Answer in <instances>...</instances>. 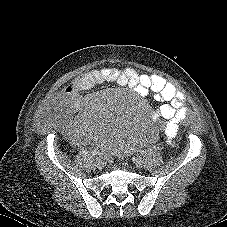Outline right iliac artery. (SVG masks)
<instances>
[{"label": "right iliac artery", "instance_id": "1", "mask_svg": "<svg viewBox=\"0 0 227 227\" xmlns=\"http://www.w3.org/2000/svg\"><path fill=\"white\" fill-rule=\"evenodd\" d=\"M93 155H100L101 153L99 152V151H97V150H94L93 152ZM98 159V158H97Z\"/></svg>", "mask_w": 227, "mask_h": 227}]
</instances>
